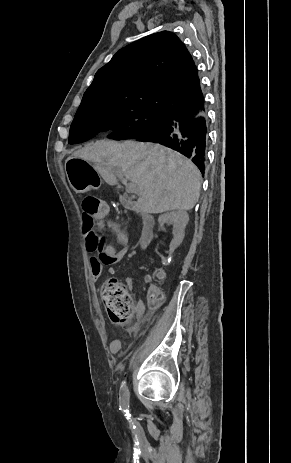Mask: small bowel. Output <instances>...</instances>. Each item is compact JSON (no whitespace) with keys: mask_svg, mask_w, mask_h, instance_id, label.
I'll return each instance as SVG.
<instances>
[{"mask_svg":"<svg viewBox=\"0 0 291 463\" xmlns=\"http://www.w3.org/2000/svg\"><path fill=\"white\" fill-rule=\"evenodd\" d=\"M111 231L115 234L116 240L123 245L121 250H117L113 245L104 244V233ZM85 250L94 253L95 256L90 260V275L94 280H99L102 274V269L105 266H113L118 263L123 257L131 253L133 244L129 243L127 234L122 230L121 226L108 219L106 213L98 219L96 229L83 230ZM148 280L150 278H147ZM133 278L128 277L125 284L128 288L133 286ZM157 288L151 286L150 290ZM135 315L138 323H141L145 317V307L142 301H139L135 308ZM121 349V342L115 340L110 345V352L117 354Z\"/></svg>","mask_w":291,"mask_h":463,"instance_id":"obj_1","label":"small bowel"}]
</instances>
